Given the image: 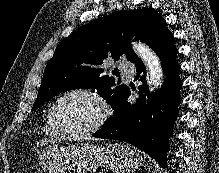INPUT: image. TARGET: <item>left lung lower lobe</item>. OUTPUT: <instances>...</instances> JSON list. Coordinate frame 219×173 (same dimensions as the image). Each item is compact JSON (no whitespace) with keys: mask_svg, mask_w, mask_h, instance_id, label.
Segmentation results:
<instances>
[{"mask_svg":"<svg viewBox=\"0 0 219 173\" xmlns=\"http://www.w3.org/2000/svg\"><path fill=\"white\" fill-rule=\"evenodd\" d=\"M161 59L166 80L158 93L148 94L146 85L139 87V97L130 103V89L120 97L114 116L105 121L102 128L92 136L130 143L153 157L159 165L167 164L168 139L178 116L181 102L179 78L180 65L176 61L178 51L170 34L153 49ZM140 81L146 83V70L142 61L135 62Z\"/></svg>","mask_w":219,"mask_h":173,"instance_id":"obj_1","label":"left lung lower lobe"}]
</instances>
